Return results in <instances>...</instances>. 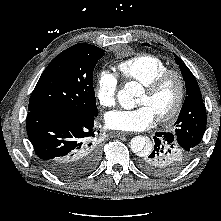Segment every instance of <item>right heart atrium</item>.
I'll list each match as a JSON object with an SVG mask.
<instances>
[{"label": "right heart atrium", "mask_w": 221, "mask_h": 221, "mask_svg": "<svg viewBox=\"0 0 221 221\" xmlns=\"http://www.w3.org/2000/svg\"><path fill=\"white\" fill-rule=\"evenodd\" d=\"M118 91V79L108 70H101L96 78L94 93L98 103L105 108L115 105Z\"/></svg>", "instance_id": "d8ad5b80"}]
</instances>
